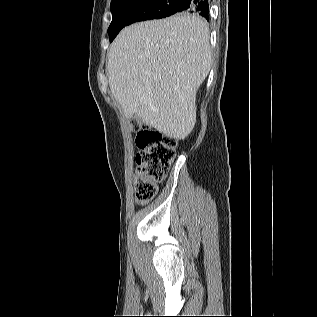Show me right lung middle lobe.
<instances>
[{"label": "right lung middle lobe", "instance_id": "1", "mask_svg": "<svg viewBox=\"0 0 317 317\" xmlns=\"http://www.w3.org/2000/svg\"><path fill=\"white\" fill-rule=\"evenodd\" d=\"M176 0H112V22L108 28L110 42L125 26L144 20L160 19L178 12ZM180 15H191L180 12Z\"/></svg>", "mask_w": 317, "mask_h": 317}]
</instances>
